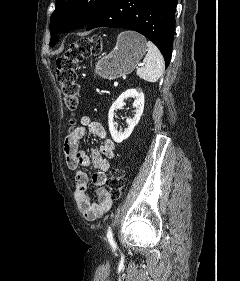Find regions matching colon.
Wrapping results in <instances>:
<instances>
[{
	"mask_svg": "<svg viewBox=\"0 0 240 281\" xmlns=\"http://www.w3.org/2000/svg\"><path fill=\"white\" fill-rule=\"evenodd\" d=\"M102 50L101 38L92 36L72 43L56 60V75L63 99L69 110H75L79 104L80 89L77 82L78 64L83 59L97 55ZM110 197L118 200L124 186V170L120 166L111 169L107 179Z\"/></svg>",
	"mask_w": 240,
	"mask_h": 281,
	"instance_id": "colon-1",
	"label": "colon"
}]
</instances>
